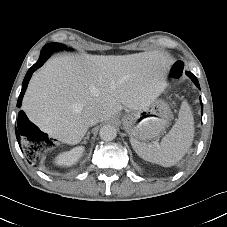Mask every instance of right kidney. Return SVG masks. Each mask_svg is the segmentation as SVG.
Returning a JSON list of instances; mask_svg holds the SVG:
<instances>
[{
  "label": "right kidney",
  "mask_w": 227,
  "mask_h": 227,
  "mask_svg": "<svg viewBox=\"0 0 227 227\" xmlns=\"http://www.w3.org/2000/svg\"><path fill=\"white\" fill-rule=\"evenodd\" d=\"M83 152L84 147L82 146L75 147L68 152L59 154L56 157L55 162L57 165L60 166H71L78 161V159L82 156Z\"/></svg>",
  "instance_id": "right-kidney-1"
}]
</instances>
